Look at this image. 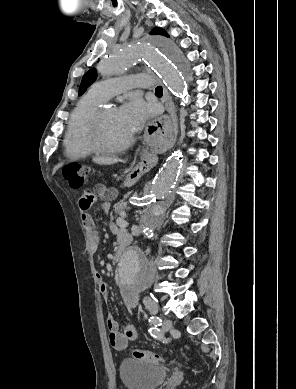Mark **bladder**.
Returning a JSON list of instances; mask_svg holds the SVG:
<instances>
[{
	"instance_id": "bladder-1",
	"label": "bladder",
	"mask_w": 296,
	"mask_h": 389,
	"mask_svg": "<svg viewBox=\"0 0 296 389\" xmlns=\"http://www.w3.org/2000/svg\"><path fill=\"white\" fill-rule=\"evenodd\" d=\"M119 375L125 389H157L168 373L161 366L126 358L120 364Z\"/></svg>"
}]
</instances>
